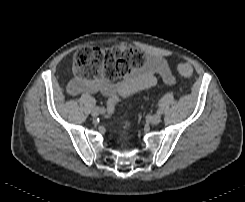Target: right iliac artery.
<instances>
[{"label":"right iliac artery","instance_id":"1","mask_svg":"<svg viewBox=\"0 0 245 202\" xmlns=\"http://www.w3.org/2000/svg\"><path fill=\"white\" fill-rule=\"evenodd\" d=\"M100 109L103 111L102 114L105 113V109L104 108L101 107Z\"/></svg>","mask_w":245,"mask_h":202}]
</instances>
